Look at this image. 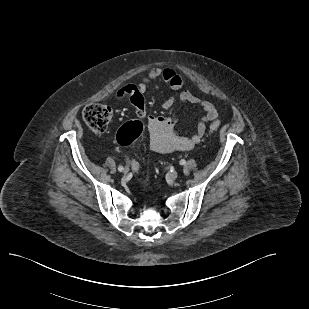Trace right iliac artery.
<instances>
[{
  "label": "right iliac artery",
  "mask_w": 309,
  "mask_h": 309,
  "mask_svg": "<svg viewBox=\"0 0 309 309\" xmlns=\"http://www.w3.org/2000/svg\"><path fill=\"white\" fill-rule=\"evenodd\" d=\"M123 166H118V170L120 171V172H122L123 171Z\"/></svg>",
  "instance_id": "right-iliac-artery-1"
}]
</instances>
